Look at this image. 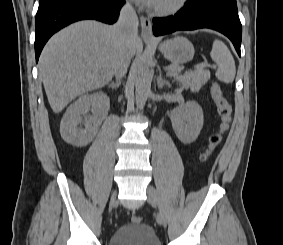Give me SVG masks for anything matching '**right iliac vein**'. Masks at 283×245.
Here are the masks:
<instances>
[{
    "mask_svg": "<svg viewBox=\"0 0 283 245\" xmlns=\"http://www.w3.org/2000/svg\"><path fill=\"white\" fill-rule=\"evenodd\" d=\"M116 192H114L111 196L110 202H109V210H111L115 204H116Z\"/></svg>",
    "mask_w": 283,
    "mask_h": 245,
    "instance_id": "right-iliac-vein-1",
    "label": "right iliac vein"
}]
</instances>
